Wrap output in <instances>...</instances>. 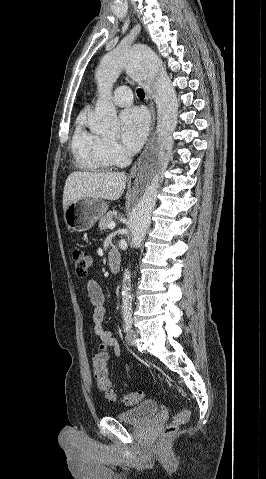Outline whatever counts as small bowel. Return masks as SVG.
I'll use <instances>...</instances> for the list:
<instances>
[{
	"label": "small bowel",
	"instance_id": "small-bowel-1",
	"mask_svg": "<svg viewBox=\"0 0 266 479\" xmlns=\"http://www.w3.org/2000/svg\"><path fill=\"white\" fill-rule=\"evenodd\" d=\"M87 294L94 307L92 313V320L94 322L93 333L99 340L100 345H104L106 348H112L116 356L120 355L117 340L112 336V333L106 331L102 327V322L105 315L104 308V293L100 285L94 280H88L86 284Z\"/></svg>",
	"mask_w": 266,
	"mask_h": 479
}]
</instances>
